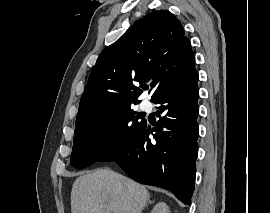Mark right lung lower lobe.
<instances>
[{"label":"right lung lower lobe","instance_id":"obj_1","mask_svg":"<svg viewBox=\"0 0 270 213\" xmlns=\"http://www.w3.org/2000/svg\"><path fill=\"white\" fill-rule=\"evenodd\" d=\"M198 73L193 67L181 80L157 95L162 115L152 129L144 123L100 161H115L133 180L169 189L191 204L198 152ZM153 134V139L149 134Z\"/></svg>","mask_w":270,"mask_h":213}]
</instances>
